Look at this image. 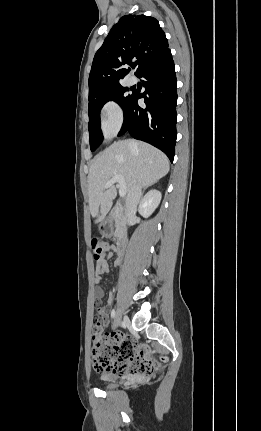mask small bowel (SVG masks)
Returning <instances> with one entry per match:
<instances>
[{"label": "small bowel", "mask_w": 261, "mask_h": 431, "mask_svg": "<svg viewBox=\"0 0 261 431\" xmlns=\"http://www.w3.org/2000/svg\"><path fill=\"white\" fill-rule=\"evenodd\" d=\"M111 257V253L108 254L107 258ZM121 263V260L116 259L115 260V264L119 265ZM109 272V267L108 264L106 262V259H102L100 262H98L97 267H96V276H95V284L96 289H95V299L94 302L97 305H100L103 302V297H104V289L99 285L101 280H102V275L107 274ZM112 300V295H109V301ZM97 316L100 319H103L104 324H107V310L105 308H100V311L97 313Z\"/></svg>", "instance_id": "1"}]
</instances>
